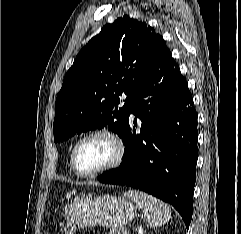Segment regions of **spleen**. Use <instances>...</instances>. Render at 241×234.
<instances>
[{
  "label": "spleen",
  "mask_w": 241,
  "mask_h": 234,
  "mask_svg": "<svg viewBox=\"0 0 241 234\" xmlns=\"http://www.w3.org/2000/svg\"><path fill=\"white\" fill-rule=\"evenodd\" d=\"M124 195L143 209L147 222L151 227L162 226L170 220V207L160 199L136 189H130Z\"/></svg>",
  "instance_id": "spleen-1"
}]
</instances>
